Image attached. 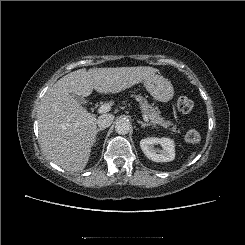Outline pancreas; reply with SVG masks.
Returning a JSON list of instances; mask_svg holds the SVG:
<instances>
[{
  "label": "pancreas",
  "instance_id": "1",
  "mask_svg": "<svg viewBox=\"0 0 245 245\" xmlns=\"http://www.w3.org/2000/svg\"><path fill=\"white\" fill-rule=\"evenodd\" d=\"M140 104L141 112L148 117L153 125H160L164 128H167L173 132L180 133V130H177V127L173 125L171 121L164 120L159 114L160 111L157 107H153L148 103V101L141 95H132Z\"/></svg>",
  "mask_w": 245,
  "mask_h": 245
}]
</instances>
